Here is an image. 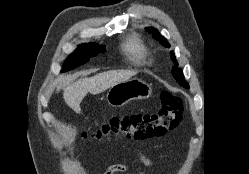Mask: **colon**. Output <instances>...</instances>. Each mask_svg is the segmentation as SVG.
<instances>
[{
  "label": "colon",
  "mask_w": 249,
  "mask_h": 174,
  "mask_svg": "<svg viewBox=\"0 0 249 174\" xmlns=\"http://www.w3.org/2000/svg\"><path fill=\"white\" fill-rule=\"evenodd\" d=\"M161 103L160 109L154 112L114 117L94 131L83 134V138L102 142L118 137L140 140L162 136L178 125L183 101L165 91L161 94Z\"/></svg>",
  "instance_id": "obj_1"
}]
</instances>
